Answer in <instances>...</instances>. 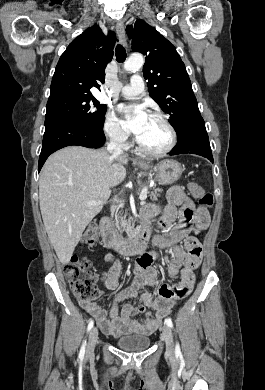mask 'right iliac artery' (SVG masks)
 I'll return each mask as SVG.
<instances>
[{
	"label": "right iliac artery",
	"instance_id": "obj_1",
	"mask_svg": "<svg viewBox=\"0 0 265 390\" xmlns=\"http://www.w3.org/2000/svg\"><path fill=\"white\" fill-rule=\"evenodd\" d=\"M93 325H94V321H93V320H90V322H89V324H88L87 330L90 331V330L92 329ZM85 346H86V341H84L83 344H82V346H81L80 353H79V358H80V359H83V358H84Z\"/></svg>",
	"mask_w": 265,
	"mask_h": 390
}]
</instances>
